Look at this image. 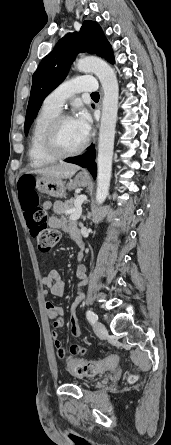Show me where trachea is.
<instances>
[{"label":"trachea","instance_id":"obj_1","mask_svg":"<svg viewBox=\"0 0 171 445\" xmlns=\"http://www.w3.org/2000/svg\"><path fill=\"white\" fill-rule=\"evenodd\" d=\"M91 96H92V97H99V93H98V92H93V93L91 94Z\"/></svg>","mask_w":171,"mask_h":445}]
</instances>
